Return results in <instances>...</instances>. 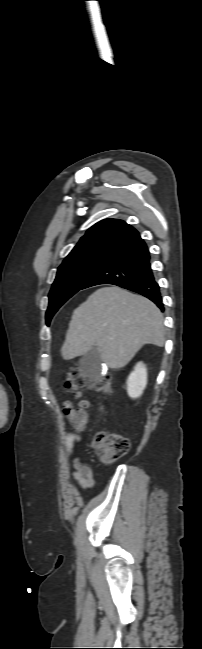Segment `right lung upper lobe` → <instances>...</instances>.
Wrapping results in <instances>:
<instances>
[{"label": "right lung upper lobe", "instance_id": "cb5924a9", "mask_svg": "<svg viewBox=\"0 0 202 649\" xmlns=\"http://www.w3.org/2000/svg\"><path fill=\"white\" fill-rule=\"evenodd\" d=\"M142 241L138 231L124 221L104 219L87 230L67 257L89 252L117 255Z\"/></svg>", "mask_w": 202, "mask_h": 649}]
</instances>
